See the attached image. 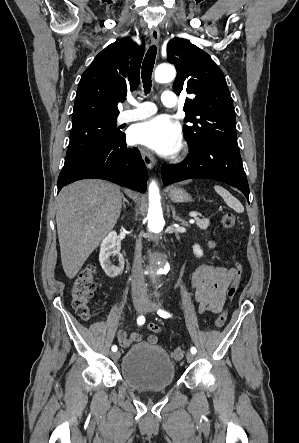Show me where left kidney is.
I'll return each instance as SVG.
<instances>
[{
    "label": "left kidney",
    "mask_w": 299,
    "mask_h": 443,
    "mask_svg": "<svg viewBox=\"0 0 299 443\" xmlns=\"http://www.w3.org/2000/svg\"><path fill=\"white\" fill-rule=\"evenodd\" d=\"M193 252H194V254H195L197 257H201V256H203V251H202V249L200 248V246H199L198 244H195V245L193 246Z\"/></svg>",
    "instance_id": "1"
}]
</instances>
